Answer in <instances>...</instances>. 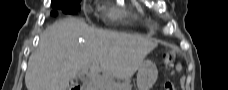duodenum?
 <instances>
[{
  "mask_svg": "<svg viewBox=\"0 0 228 90\" xmlns=\"http://www.w3.org/2000/svg\"><path fill=\"white\" fill-rule=\"evenodd\" d=\"M72 90H84L81 86L77 85L72 88Z\"/></svg>",
  "mask_w": 228,
  "mask_h": 90,
  "instance_id": "1",
  "label": "duodenum"
}]
</instances>
